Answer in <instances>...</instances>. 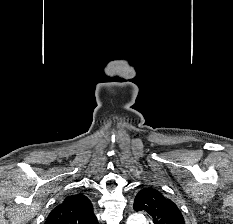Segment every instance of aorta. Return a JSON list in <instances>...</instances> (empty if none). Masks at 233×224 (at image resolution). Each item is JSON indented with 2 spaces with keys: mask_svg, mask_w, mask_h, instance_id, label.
I'll return each mask as SVG.
<instances>
[{
  "mask_svg": "<svg viewBox=\"0 0 233 224\" xmlns=\"http://www.w3.org/2000/svg\"><path fill=\"white\" fill-rule=\"evenodd\" d=\"M126 224H148V222L144 215L136 213L128 217Z\"/></svg>",
  "mask_w": 233,
  "mask_h": 224,
  "instance_id": "obj_1",
  "label": "aorta"
}]
</instances>
